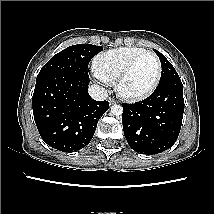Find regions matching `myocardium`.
<instances>
[{"label": "myocardium", "mask_w": 214, "mask_h": 214, "mask_svg": "<svg viewBox=\"0 0 214 214\" xmlns=\"http://www.w3.org/2000/svg\"><path fill=\"white\" fill-rule=\"evenodd\" d=\"M146 55H150L151 57H153V59L156 62V66H157V73H156V77L155 80L153 82V84L150 86L149 89H147L146 91L139 93V94H128L125 93L122 90V84L124 82V80L126 79V77L129 75L130 71L132 70V68L134 67V65L144 56ZM161 76H162V65L161 62L159 60V58L157 57V55L151 51H144L142 53L137 54L136 56H134L123 68V70L121 71V73L119 74L117 80H116V91L117 94L123 98L124 100L127 101H141L144 100L146 98H148L149 96H151L155 90L157 89L160 80H161Z\"/></svg>", "instance_id": "obj_1"}]
</instances>
